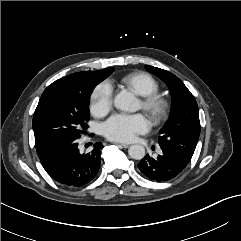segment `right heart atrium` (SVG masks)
Wrapping results in <instances>:
<instances>
[{"mask_svg": "<svg viewBox=\"0 0 241 241\" xmlns=\"http://www.w3.org/2000/svg\"><path fill=\"white\" fill-rule=\"evenodd\" d=\"M113 103L112 87L108 82L98 84L91 94V112L95 116L107 114Z\"/></svg>", "mask_w": 241, "mask_h": 241, "instance_id": "1", "label": "right heart atrium"}]
</instances>
